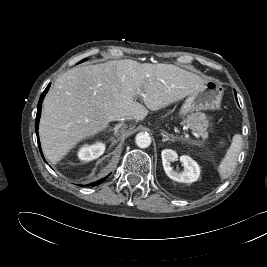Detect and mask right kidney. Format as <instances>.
Masks as SVG:
<instances>
[{"mask_svg": "<svg viewBox=\"0 0 267 267\" xmlns=\"http://www.w3.org/2000/svg\"><path fill=\"white\" fill-rule=\"evenodd\" d=\"M105 151L103 142H96L92 145H83L78 151V157L83 161H91L100 157Z\"/></svg>", "mask_w": 267, "mask_h": 267, "instance_id": "right-kidney-1", "label": "right kidney"}]
</instances>
